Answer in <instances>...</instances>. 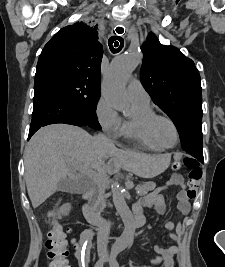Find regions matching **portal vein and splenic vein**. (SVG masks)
Returning a JSON list of instances; mask_svg holds the SVG:
<instances>
[{
  "mask_svg": "<svg viewBox=\"0 0 225 267\" xmlns=\"http://www.w3.org/2000/svg\"><path fill=\"white\" fill-rule=\"evenodd\" d=\"M66 161H67V162H71V163L74 162V161H73L72 159H70V158L66 159ZM76 164H77V163H76ZM80 170H81V171H85V168H84V167H81ZM88 174L92 175L90 172H89Z\"/></svg>",
  "mask_w": 225,
  "mask_h": 267,
  "instance_id": "1",
  "label": "portal vein and splenic vein"
}]
</instances>
